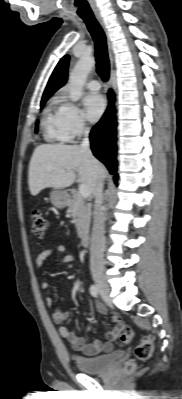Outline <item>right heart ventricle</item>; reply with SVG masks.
<instances>
[{
    "mask_svg": "<svg viewBox=\"0 0 182 399\" xmlns=\"http://www.w3.org/2000/svg\"><path fill=\"white\" fill-rule=\"evenodd\" d=\"M63 104L55 103L44 111L42 126L48 141H67L69 136L63 122Z\"/></svg>",
    "mask_w": 182,
    "mask_h": 399,
    "instance_id": "1",
    "label": "right heart ventricle"
}]
</instances>
